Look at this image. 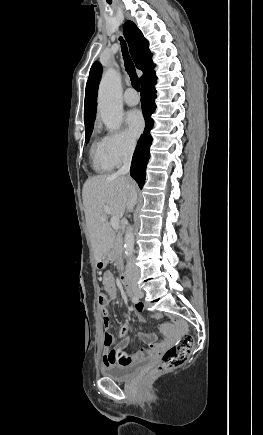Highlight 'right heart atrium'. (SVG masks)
<instances>
[{
    "mask_svg": "<svg viewBox=\"0 0 263 435\" xmlns=\"http://www.w3.org/2000/svg\"><path fill=\"white\" fill-rule=\"evenodd\" d=\"M111 162L117 166L129 159L135 150V141L124 131L112 132L103 138Z\"/></svg>",
    "mask_w": 263,
    "mask_h": 435,
    "instance_id": "1",
    "label": "right heart atrium"
}]
</instances>
